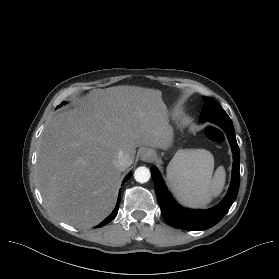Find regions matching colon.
Here are the masks:
<instances>
[{
    "instance_id": "1",
    "label": "colon",
    "mask_w": 279,
    "mask_h": 279,
    "mask_svg": "<svg viewBox=\"0 0 279 279\" xmlns=\"http://www.w3.org/2000/svg\"><path fill=\"white\" fill-rule=\"evenodd\" d=\"M206 136L209 140L215 143H221L224 141V133L216 127L207 128Z\"/></svg>"
}]
</instances>
